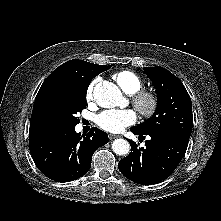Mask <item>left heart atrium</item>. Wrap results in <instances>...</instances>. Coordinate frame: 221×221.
Masks as SVG:
<instances>
[{
    "instance_id": "39dd6f15",
    "label": "left heart atrium",
    "mask_w": 221,
    "mask_h": 221,
    "mask_svg": "<svg viewBox=\"0 0 221 221\" xmlns=\"http://www.w3.org/2000/svg\"><path fill=\"white\" fill-rule=\"evenodd\" d=\"M136 119L137 116L133 110L108 109L96 115L94 121L99 128L105 131L119 133L127 126L134 124Z\"/></svg>"
}]
</instances>
